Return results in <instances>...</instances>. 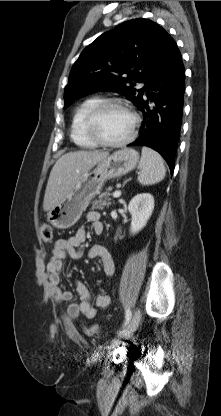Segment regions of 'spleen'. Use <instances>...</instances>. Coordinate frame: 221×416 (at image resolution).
Wrapping results in <instances>:
<instances>
[{
  "label": "spleen",
  "instance_id": "3e777b00",
  "mask_svg": "<svg viewBox=\"0 0 221 416\" xmlns=\"http://www.w3.org/2000/svg\"><path fill=\"white\" fill-rule=\"evenodd\" d=\"M138 182L142 185H153L164 179L166 169L161 155L149 147L142 148L139 163Z\"/></svg>",
  "mask_w": 221,
  "mask_h": 416
}]
</instances>
